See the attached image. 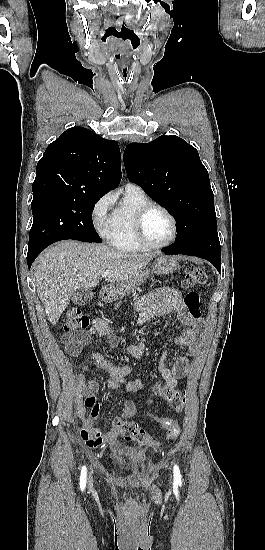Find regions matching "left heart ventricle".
<instances>
[{"label": "left heart ventricle", "instance_id": "1", "mask_svg": "<svg viewBox=\"0 0 265 550\" xmlns=\"http://www.w3.org/2000/svg\"><path fill=\"white\" fill-rule=\"evenodd\" d=\"M144 227L147 239L153 244L166 242L172 233L169 217L160 210H153L147 215Z\"/></svg>", "mask_w": 265, "mask_h": 550}]
</instances>
